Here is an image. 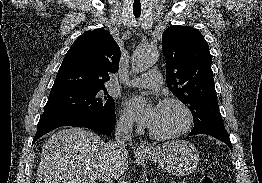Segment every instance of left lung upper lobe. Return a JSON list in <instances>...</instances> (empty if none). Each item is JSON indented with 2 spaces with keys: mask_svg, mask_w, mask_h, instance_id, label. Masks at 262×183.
I'll list each match as a JSON object with an SVG mask.
<instances>
[{
  "mask_svg": "<svg viewBox=\"0 0 262 183\" xmlns=\"http://www.w3.org/2000/svg\"><path fill=\"white\" fill-rule=\"evenodd\" d=\"M162 47L167 85L191 110L192 132L224 129L214 88L212 56L202 34L192 27L171 26L163 33Z\"/></svg>",
  "mask_w": 262,
  "mask_h": 183,
  "instance_id": "5c2ea615",
  "label": "left lung upper lobe"
}]
</instances>
